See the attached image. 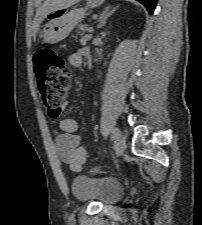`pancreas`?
Masks as SVG:
<instances>
[{
  "label": "pancreas",
  "mask_w": 202,
  "mask_h": 225,
  "mask_svg": "<svg viewBox=\"0 0 202 225\" xmlns=\"http://www.w3.org/2000/svg\"><path fill=\"white\" fill-rule=\"evenodd\" d=\"M85 30H87V26L86 25H83V24H80L78 26L77 34H80L81 31H85ZM73 37H76V36H73Z\"/></svg>",
  "instance_id": "pancreas-1"
}]
</instances>
